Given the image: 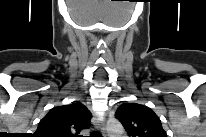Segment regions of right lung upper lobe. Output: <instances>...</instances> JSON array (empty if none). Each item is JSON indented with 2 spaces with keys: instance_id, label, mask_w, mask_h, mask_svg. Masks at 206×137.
Segmentation results:
<instances>
[{
  "instance_id": "obj_1",
  "label": "right lung upper lobe",
  "mask_w": 206,
  "mask_h": 137,
  "mask_svg": "<svg viewBox=\"0 0 206 137\" xmlns=\"http://www.w3.org/2000/svg\"><path fill=\"white\" fill-rule=\"evenodd\" d=\"M91 113L81 103L52 108L39 122L35 136L75 137L90 125Z\"/></svg>"
}]
</instances>
